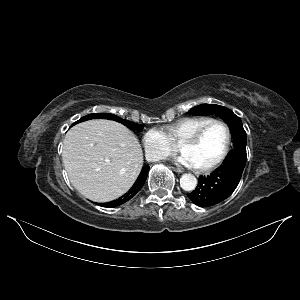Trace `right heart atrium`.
I'll list each match as a JSON object with an SVG mask.
<instances>
[{
	"label": "right heart atrium",
	"mask_w": 300,
	"mask_h": 300,
	"mask_svg": "<svg viewBox=\"0 0 300 300\" xmlns=\"http://www.w3.org/2000/svg\"><path fill=\"white\" fill-rule=\"evenodd\" d=\"M142 144L146 158L151 162H158L176 151L166 132L161 128H151L145 132Z\"/></svg>",
	"instance_id": "d8ad5b80"
}]
</instances>
